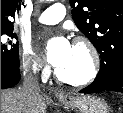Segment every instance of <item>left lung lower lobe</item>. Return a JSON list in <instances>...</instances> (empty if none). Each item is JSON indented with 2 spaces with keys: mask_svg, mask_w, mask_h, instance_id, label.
Masks as SVG:
<instances>
[{
  "mask_svg": "<svg viewBox=\"0 0 123 113\" xmlns=\"http://www.w3.org/2000/svg\"><path fill=\"white\" fill-rule=\"evenodd\" d=\"M102 91H117L123 93V65L117 67L115 75L108 81L102 80L97 74L94 82L80 90V93L91 94Z\"/></svg>",
  "mask_w": 123,
  "mask_h": 113,
  "instance_id": "0a47b994",
  "label": "left lung lower lobe"
}]
</instances>
